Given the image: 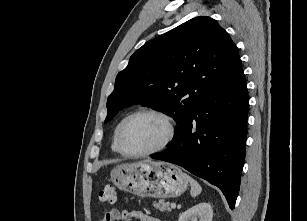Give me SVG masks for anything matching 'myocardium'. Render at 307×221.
<instances>
[{"mask_svg":"<svg viewBox=\"0 0 307 221\" xmlns=\"http://www.w3.org/2000/svg\"><path fill=\"white\" fill-rule=\"evenodd\" d=\"M141 115H153L155 117H158L159 119H161L166 127V134L164 139L162 140V142L157 145L156 147L145 151V152H141V153H130L128 151L125 150L124 146H123V137H124V133L128 127V125L131 123L132 120H134L136 117H139ZM175 132H176V127H175V123L173 118L168 115L167 113L158 110V109H153V108H145V109H141L138 110L134 113H132L131 115H129L123 122V124L121 125L118 135H117V149L119 151L120 154H122L123 156L127 157V158H142V157H147L150 155H153L157 152L162 151L163 149H165L170 142L173 140L174 136H175Z\"/></svg>","mask_w":307,"mask_h":221,"instance_id":"f54148a6","label":"myocardium"}]
</instances>
